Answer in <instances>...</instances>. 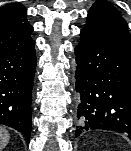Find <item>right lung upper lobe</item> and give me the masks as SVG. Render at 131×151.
Returning a JSON list of instances; mask_svg holds the SVG:
<instances>
[{
    "label": "right lung upper lobe",
    "mask_w": 131,
    "mask_h": 151,
    "mask_svg": "<svg viewBox=\"0 0 131 151\" xmlns=\"http://www.w3.org/2000/svg\"><path fill=\"white\" fill-rule=\"evenodd\" d=\"M26 16V8L20 3L5 5L0 9V35H19L33 29Z\"/></svg>",
    "instance_id": "obj_1"
}]
</instances>
